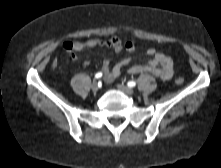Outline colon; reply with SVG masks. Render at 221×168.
Segmentation results:
<instances>
[{
	"mask_svg": "<svg viewBox=\"0 0 221 168\" xmlns=\"http://www.w3.org/2000/svg\"><path fill=\"white\" fill-rule=\"evenodd\" d=\"M122 38L124 40H129L131 38V33L129 31H124L122 33ZM183 81H184L183 78L179 77V78H176L175 83L180 85L183 83Z\"/></svg>",
	"mask_w": 221,
	"mask_h": 168,
	"instance_id": "obj_1",
	"label": "colon"
}]
</instances>
